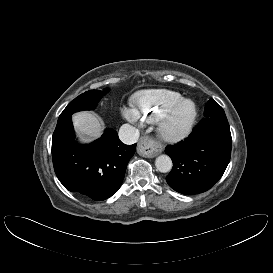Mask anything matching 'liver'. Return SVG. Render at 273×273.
I'll use <instances>...</instances> for the list:
<instances>
[{"label":"liver","mask_w":273,"mask_h":273,"mask_svg":"<svg viewBox=\"0 0 273 273\" xmlns=\"http://www.w3.org/2000/svg\"><path fill=\"white\" fill-rule=\"evenodd\" d=\"M75 128L89 139H97L102 134V126L98 118L89 112H78L73 115Z\"/></svg>","instance_id":"1"}]
</instances>
